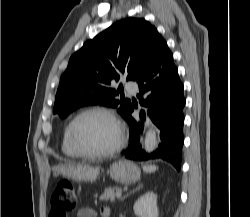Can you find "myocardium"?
I'll list each match as a JSON object with an SVG mask.
<instances>
[{
  "mask_svg": "<svg viewBox=\"0 0 250 217\" xmlns=\"http://www.w3.org/2000/svg\"><path fill=\"white\" fill-rule=\"evenodd\" d=\"M91 113H100L107 116L112 121V123L116 128L117 131L116 142L111 148L105 151L96 153L86 152L80 148V146L77 144L75 140L74 130L76 123L79 121V119ZM68 139L71 147L75 150V152L78 154L79 157L88 159H101V158L111 157L117 154L123 148L126 141V132L122 121L112 109L102 105H93L82 109L70 121L68 125Z\"/></svg>",
  "mask_w": 250,
  "mask_h": 217,
  "instance_id": "myocardium-1",
  "label": "myocardium"
}]
</instances>
